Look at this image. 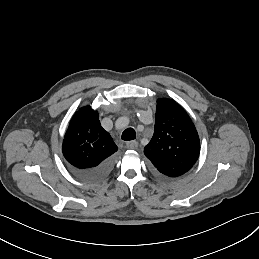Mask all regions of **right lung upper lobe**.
Wrapping results in <instances>:
<instances>
[{
	"instance_id": "right-lung-upper-lobe-1",
	"label": "right lung upper lobe",
	"mask_w": 259,
	"mask_h": 259,
	"mask_svg": "<svg viewBox=\"0 0 259 259\" xmlns=\"http://www.w3.org/2000/svg\"><path fill=\"white\" fill-rule=\"evenodd\" d=\"M117 150L110 134L101 127L97 111L86 106L75 113L62 146L65 159L73 167H96Z\"/></svg>"
}]
</instances>
